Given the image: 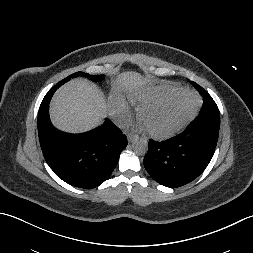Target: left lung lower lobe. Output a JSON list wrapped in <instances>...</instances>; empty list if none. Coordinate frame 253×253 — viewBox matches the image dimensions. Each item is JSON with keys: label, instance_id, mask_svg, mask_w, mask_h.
<instances>
[{"label": "left lung lower lobe", "instance_id": "obj_1", "mask_svg": "<svg viewBox=\"0 0 253 253\" xmlns=\"http://www.w3.org/2000/svg\"><path fill=\"white\" fill-rule=\"evenodd\" d=\"M220 113H200L178 136L163 142L149 141L144 166L166 187L183 186L208 166L217 144Z\"/></svg>", "mask_w": 253, "mask_h": 253}]
</instances>
